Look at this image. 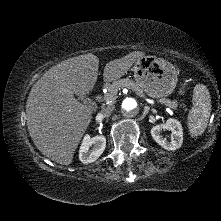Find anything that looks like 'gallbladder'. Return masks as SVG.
I'll return each mask as SVG.
<instances>
[{
    "label": "gallbladder",
    "instance_id": "gallbladder-1",
    "mask_svg": "<svg viewBox=\"0 0 221 221\" xmlns=\"http://www.w3.org/2000/svg\"><path fill=\"white\" fill-rule=\"evenodd\" d=\"M80 100L84 101L85 100V97L83 95H80L79 97Z\"/></svg>",
    "mask_w": 221,
    "mask_h": 221
}]
</instances>
